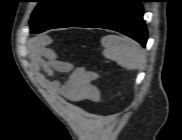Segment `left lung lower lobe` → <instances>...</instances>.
<instances>
[{"label":"left lung lower lobe","mask_w":182,"mask_h":140,"mask_svg":"<svg viewBox=\"0 0 182 140\" xmlns=\"http://www.w3.org/2000/svg\"><path fill=\"white\" fill-rule=\"evenodd\" d=\"M142 0H105L69 27H98L121 32L146 46Z\"/></svg>","instance_id":"0a47b994"}]
</instances>
